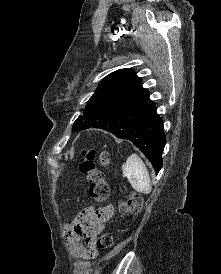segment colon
Returning <instances> with one entry per match:
<instances>
[{"label": "colon", "mask_w": 221, "mask_h": 274, "mask_svg": "<svg viewBox=\"0 0 221 274\" xmlns=\"http://www.w3.org/2000/svg\"><path fill=\"white\" fill-rule=\"evenodd\" d=\"M96 152L93 149H87L82 152L83 160L79 165L80 172L86 176L90 186L89 195L97 201L105 200L110 193V187L105 180L103 172L94 162ZM100 163L107 166L110 162V155L107 151H102L99 155ZM142 198L136 193H131L127 199L120 201L119 212L121 215H135L142 209ZM115 233L104 231L97 239L96 245L99 249L112 247L115 241Z\"/></svg>", "instance_id": "colon-1"}]
</instances>
